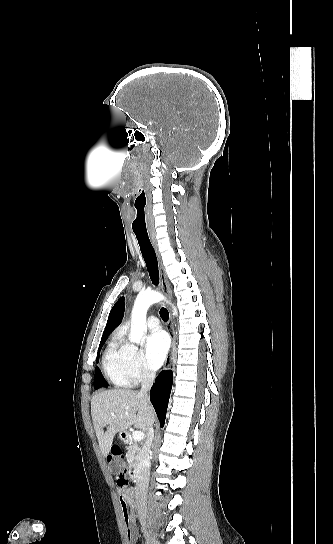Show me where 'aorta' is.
Returning a JSON list of instances; mask_svg holds the SVG:
<instances>
[{
    "instance_id": "aorta-1",
    "label": "aorta",
    "mask_w": 333,
    "mask_h": 544,
    "mask_svg": "<svg viewBox=\"0 0 333 544\" xmlns=\"http://www.w3.org/2000/svg\"><path fill=\"white\" fill-rule=\"evenodd\" d=\"M165 297L157 291L140 292L135 300L131 314V332L130 341L136 344L141 343L143 335L146 331V315L148 308ZM177 310L174 308V315Z\"/></svg>"
}]
</instances>
